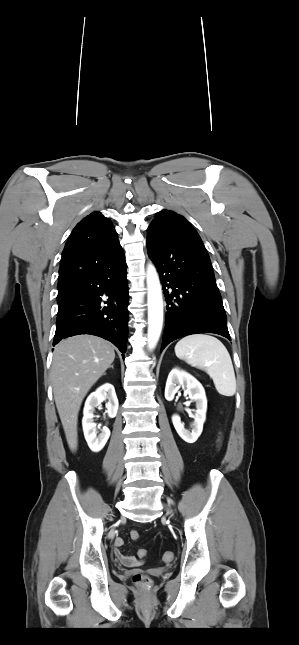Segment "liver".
I'll list each match as a JSON object with an SVG mask.
<instances>
[{
    "instance_id": "obj_1",
    "label": "liver",
    "mask_w": 299,
    "mask_h": 645,
    "mask_svg": "<svg viewBox=\"0 0 299 645\" xmlns=\"http://www.w3.org/2000/svg\"><path fill=\"white\" fill-rule=\"evenodd\" d=\"M114 359L112 345L93 335L67 338L54 349L53 394L68 446L73 452L78 446L77 421L81 403Z\"/></svg>"
}]
</instances>
